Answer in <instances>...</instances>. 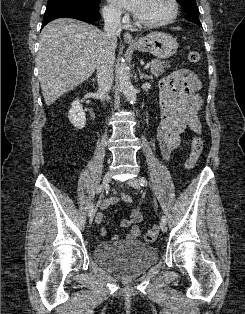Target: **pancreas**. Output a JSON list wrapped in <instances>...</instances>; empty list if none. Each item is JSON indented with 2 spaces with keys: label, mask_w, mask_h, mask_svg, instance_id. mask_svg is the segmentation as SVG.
<instances>
[{
  "label": "pancreas",
  "mask_w": 245,
  "mask_h": 314,
  "mask_svg": "<svg viewBox=\"0 0 245 314\" xmlns=\"http://www.w3.org/2000/svg\"><path fill=\"white\" fill-rule=\"evenodd\" d=\"M166 67H170V65L168 64V62H165V61H161L159 59H156V60H153L151 63H150V71H151V74L153 76H160L161 74L164 73V69Z\"/></svg>",
  "instance_id": "pancreas-1"
}]
</instances>
